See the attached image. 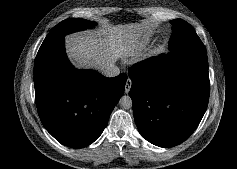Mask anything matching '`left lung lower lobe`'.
I'll list each match as a JSON object with an SVG mask.
<instances>
[{
  "instance_id": "obj_1",
  "label": "left lung lower lobe",
  "mask_w": 237,
  "mask_h": 169,
  "mask_svg": "<svg viewBox=\"0 0 237 169\" xmlns=\"http://www.w3.org/2000/svg\"><path fill=\"white\" fill-rule=\"evenodd\" d=\"M130 97L142 136L160 147L185 141L208 105L210 85L206 52L160 55L133 65Z\"/></svg>"
}]
</instances>
